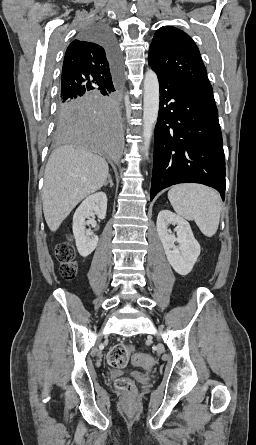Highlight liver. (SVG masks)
<instances>
[{
	"mask_svg": "<svg viewBox=\"0 0 256 445\" xmlns=\"http://www.w3.org/2000/svg\"><path fill=\"white\" fill-rule=\"evenodd\" d=\"M109 167L102 157L73 151L69 146L55 149L46 165L42 193L46 223L55 232L75 206L106 182Z\"/></svg>",
	"mask_w": 256,
	"mask_h": 445,
	"instance_id": "6515ba94",
	"label": "liver"
}]
</instances>
